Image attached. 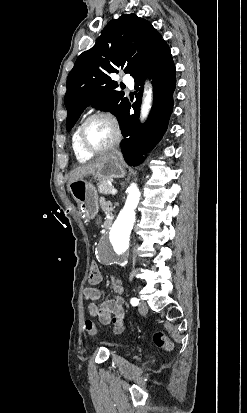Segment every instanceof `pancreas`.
Listing matches in <instances>:
<instances>
[{
	"mask_svg": "<svg viewBox=\"0 0 247 413\" xmlns=\"http://www.w3.org/2000/svg\"><path fill=\"white\" fill-rule=\"evenodd\" d=\"M112 188H114L113 184H109L107 180H100V182H98V190L102 192V194H109Z\"/></svg>",
	"mask_w": 247,
	"mask_h": 413,
	"instance_id": "1",
	"label": "pancreas"
}]
</instances>
